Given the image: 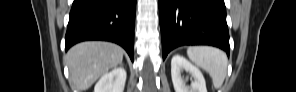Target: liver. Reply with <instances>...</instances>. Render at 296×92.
Listing matches in <instances>:
<instances>
[{
    "label": "liver",
    "mask_w": 296,
    "mask_h": 92,
    "mask_svg": "<svg viewBox=\"0 0 296 92\" xmlns=\"http://www.w3.org/2000/svg\"><path fill=\"white\" fill-rule=\"evenodd\" d=\"M124 50L109 42L87 41L73 46L67 53L70 80L83 91L112 68L122 63Z\"/></svg>",
    "instance_id": "6515ba94"
}]
</instances>
